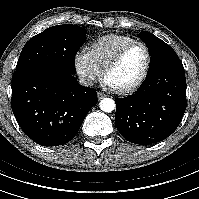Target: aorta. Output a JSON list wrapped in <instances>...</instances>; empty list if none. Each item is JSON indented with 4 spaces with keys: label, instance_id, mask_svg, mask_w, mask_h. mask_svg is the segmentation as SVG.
Returning a JSON list of instances; mask_svg holds the SVG:
<instances>
[{
    "label": "aorta",
    "instance_id": "aorta-1",
    "mask_svg": "<svg viewBox=\"0 0 199 199\" xmlns=\"http://www.w3.org/2000/svg\"><path fill=\"white\" fill-rule=\"evenodd\" d=\"M100 109L106 113L112 112L115 109V101L111 98H104L100 101Z\"/></svg>",
    "mask_w": 199,
    "mask_h": 199
}]
</instances>
